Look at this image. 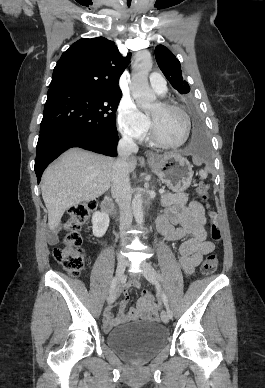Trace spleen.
Instances as JSON below:
<instances>
[{
  "label": "spleen",
  "mask_w": 265,
  "mask_h": 388,
  "mask_svg": "<svg viewBox=\"0 0 265 388\" xmlns=\"http://www.w3.org/2000/svg\"><path fill=\"white\" fill-rule=\"evenodd\" d=\"M200 176H202V178H205L206 176L205 172H200Z\"/></svg>",
  "instance_id": "obj_1"
}]
</instances>
